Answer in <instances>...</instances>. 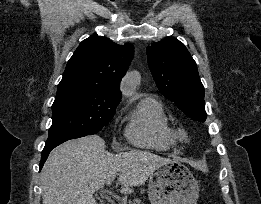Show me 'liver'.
Returning a JSON list of instances; mask_svg holds the SVG:
<instances>
[{
	"mask_svg": "<svg viewBox=\"0 0 261 204\" xmlns=\"http://www.w3.org/2000/svg\"><path fill=\"white\" fill-rule=\"evenodd\" d=\"M168 162L146 151L110 153L98 135L69 140L55 148L43 166L42 203L97 204L93 194L117 174L121 193H131Z\"/></svg>",
	"mask_w": 261,
	"mask_h": 204,
	"instance_id": "6515ba94",
	"label": "liver"
}]
</instances>
